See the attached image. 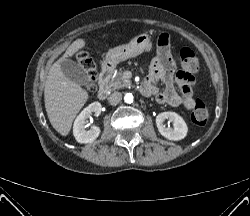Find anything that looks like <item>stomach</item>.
Here are the masks:
<instances>
[{
  "label": "stomach",
  "instance_id": "obj_1",
  "mask_svg": "<svg viewBox=\"0 0 250 216\" xmlns=\"http://www.w3.org/2000/svg\"><path fill=\"white\" fill-rule=\"evenodd\" d=\"M152 50V42L147 34H140L129 43L110 49L105 56V64L114 68L122 61L134 58Z\"/></svg>",
  "mask_w": 250,
  "mask_h": 216
}]
</instances>
